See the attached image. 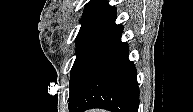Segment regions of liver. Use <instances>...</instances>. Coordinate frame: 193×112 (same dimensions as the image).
I'll use <instances>...</instances> for the list:
<instances>
[{
    "label": "liver",
    "mask_w": 193,
    "mask_h": 112,
    "mask_svg": "<svg viewBox=\"0 0 193 112\" xmlns=\"http://www.w3.org/2000/svg\"><path fill=\"white\" fill-rule=\"evenodd\" d=\"M90 112H103L101 109H93Z\"/></svg>",
    "instance_id": "liver-1"
}]
</instances>
